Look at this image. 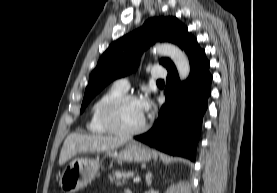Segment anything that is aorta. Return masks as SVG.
<instances>
[{
	"label": "aorta",
	"instance_id": "aorta-1",
	"mask_svg": "<svg viewBox=\"0 0 277 193\" xmlns=\"http://www.w3.org/2000/svg\"><path fill=\"white\" fill-rule=\"evenodd\" d=\"M152 52L170 57L178 70L180 79L183 81L188 78L190 63L186 54L179 47L169 43H161L153 46Z\"/></svg>",
	"mask_w": 277,
	"mask_h": 193
}]
</instances>
